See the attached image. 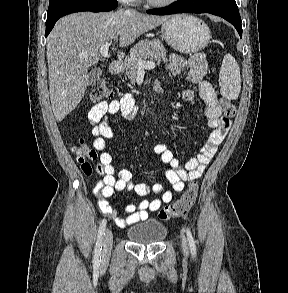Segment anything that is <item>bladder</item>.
Wrapping results in <instances>:
<instances>
[{"label":"bladder","instance_id":"1","mask_svg":"<svg viewBox=\"0 0 288 293\" xmlns=\"http://www.w3.org/2000/svg\"><path fill=\"white\" fill-rule=\"evenodd\" d=\"M166 234V227L154 219L133 225L127 230L128 239L139 244L161 242L166 237Z\"/></svg>","mask_w":288,"mask_h":293}]
</instances>
